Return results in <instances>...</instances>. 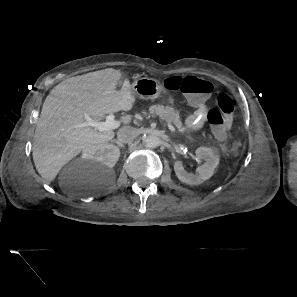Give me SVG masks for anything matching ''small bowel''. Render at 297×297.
<instances>
[{"label": "small bowel", "instance_id": "obj_1", "mask_svg": "<svg viewBox=\"0 0 297 297\" xmlns=\"http://www.w3.org/2000/svg\"><path fill=\"white\" fill-rule=\"evenodd\" d=\"M194 103L196 105V111L186 118L185 125L190 129L197 130L203 126L207 119V108L203 101Z\"/></svg>", "mask_w": 297, "mask_h": 297}]
</instances>
